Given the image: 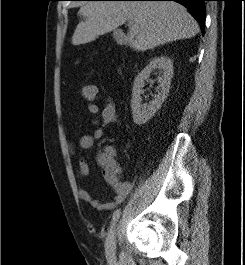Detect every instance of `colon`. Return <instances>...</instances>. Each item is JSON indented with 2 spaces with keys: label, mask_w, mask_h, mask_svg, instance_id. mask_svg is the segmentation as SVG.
Listing matches in <instances>:
<instances>
[{
  "label": "colon",
  "mask_w": 245,
  "mask_h": 265,
  "mask_svg": "<svg viewBox=\"0 0 245 265\" xmlns=\"http://www.w3.org/2000/svg\"><path fill=\"white\" fill-rule=\"evenodd\" d=\"M98 87L96 84H86L81 88V96L87 102H92L96 99Z\"/></svg>",
  "instance_id": "colon-1"
}]
</instances>
